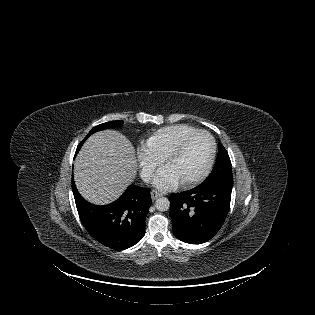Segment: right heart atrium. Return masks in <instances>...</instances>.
Returning <instances> with one entry per match:
<instances>
[{
    "label": "right heart atrium",
    "mask_w": 315,
    "mask_h": 315,
    "mask_svg": "<svg viewBox=\"0 0 315 315\" xmlns=\"http://www.w3.org/2000/svg\"><path fill=\"white\" fill-rule=\"evenodd\" d=\"M137 157L139 161L140 173L144 179H148L152 175L153 171L162 162L151 152L146 144L139 146L137 150Z\"/></svg>",
    "instance_id": "1"
}]
</instances>
